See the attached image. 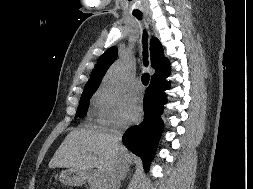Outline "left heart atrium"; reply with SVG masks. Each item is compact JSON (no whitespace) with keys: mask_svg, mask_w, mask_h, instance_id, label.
Returning <instances> with one entry per match:
<instances>
[{"mask_svg":"<svg viewBox=\"0 0 253 189\" xmlns=\"http://www.w3.org/2000/svg\"><path fill=\"white\" fill-rule=\"evenodd\" d=\"M142 115L141 101L138 97L132 96L127 99L124 108V119L126 122H135Z\"/></svg>","mask_w":253,"mask_h":189,"instance_id":"obj_1","label":"left heart atrium"}]
</instances>
